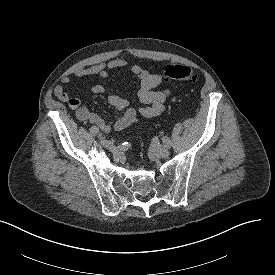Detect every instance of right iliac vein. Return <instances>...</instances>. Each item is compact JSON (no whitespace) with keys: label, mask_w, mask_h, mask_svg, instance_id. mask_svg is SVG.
I'll return each instance as SVG.
<instances>
[{"label":"right iliac vein","mask_w":275,"mask_h":275,"mask_svg":"<svg viewBox=\"0 0 275 275\" xmlns=\"http://www.w3.org/2000/svg\"><path fill=\"white\" fill-rule=\"evenodd\" d=\"M101 143H102V145H103L104 147H106L107 149H109V150H111V151H113V150L115 149V146H114V144H113L111 141H108V140L103 139V140L101 141Z\"/></svg>","instance_id":"63e3f726"}]
</instances>
